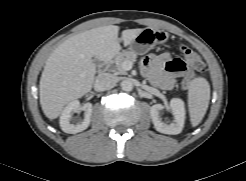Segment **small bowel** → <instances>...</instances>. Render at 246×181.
Segmentation results:
<instances>
[{
  "instance_id": "c3829d8e",
  "label": "small bowel",
  "mask_w": 246,
  "mask_h": 181,
  "mask_svg": "<svg viewBox=\"0 0 246 181\" xmlns=\"http://www.w3.org/2000/svg\"><path fill=\"white\" fill-rule=\"evenodd\" d=\"M143 73L163 89L172 88L175 78L188 73L185 62L172 58L168 51L149 54L142 60Z\"/></svg>"
}]
</instances>
